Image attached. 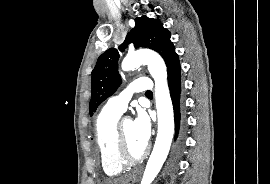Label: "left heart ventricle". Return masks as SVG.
Here are the masks:
<instances>
[{"label": "left heart ventricle", "instance_id": "b2bd125f", "mask_svg": "<svg viewBox=\"0 0 270 184\" xmlns=\"http://www.w3.org/2000/svg\"><path fill=\"white\" fill-rule=\"evenodd\" d=\"M123 129H124L125 137H126L128 148H129L130 152L133 155L140 154L144 150L146 143H144L138 137L133 121L126 120L123 124Z\"/></svg>", "mask_w": 270, "mask_h": 184}]
</instances>
